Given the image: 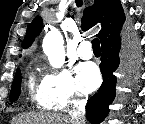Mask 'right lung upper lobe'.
<instances>
[{
  "mask_svg": "<svg viewBox=\"0 0 145 124\" xmlns=\"http://www.w3.org/2000/svg\"><path fill=\"white\" fill-rule=\"evenodd\" d=\"M125 21V15L120 0H95L91 7H87L82 18V29L87 30L97 23L101 24L102 29L97 34L100 42L110 35L119 32ZM42 19L36 17L31 25H28L27 32L22 43V47L28 48L35 36L42 29Z\"/></svg>",
  "mask_w": 145,
  "mask_h": 124,
  "instance_id": "1",
  "label": "right lung upper lobe"
}]
</instances>
